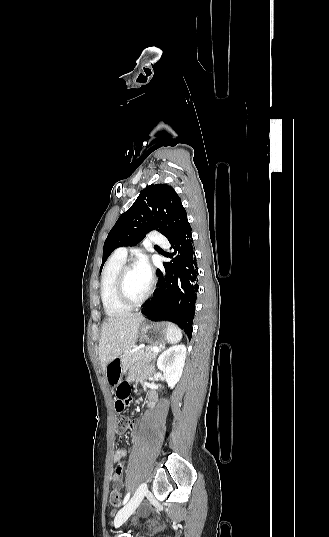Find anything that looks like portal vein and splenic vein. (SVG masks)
<instances>
[{"instance_id": "portal-vein-and-splenic-vein-1", "label": "portal vein and splenic vein", "mask_w": 329, "mask_h": 537, "mask_svg": "<svg viewBox=\"0 0 329 537\" xmlns=\"http://www.w3.org/2000/svg\"><path fill=\"white\" fill-rule=\"evenodd\" d=\"M147 349H149V348H146L145 350H147ZM151 349H152L153 351H155V352H158V351H159V349L156 348V347H152ZM143 351H144V349H141V350H140V352H143Z\"/></svg>"}]
</instances>
